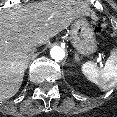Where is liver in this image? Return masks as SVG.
Segmentation results:
<instances>
[{"instance_id": "liver-1", "label": "liver", "mask_w": 117, "mask_h": 117, "mask_svg": "<svg viewBox=\"0 0 117 117\" xmlns=\"http://www.w3.org/2000/svg\"><path fill=\"white\" fill-rule=\"evenodd\" d=\"M87 5L52 0L0 11V100L21 87L30 48L47 44L74 19L87 15Z\"/></svg>"}]
</instances>
